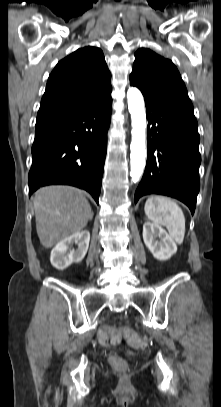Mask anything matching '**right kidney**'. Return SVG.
<instances>
[{"label": "right kidney", "mask_w": 221, "mask_h": 407, "mask_svg": "<svg viewBox=\"0 0 221 407\" xmlns=\"http://www.w3.org/2000/svg\"><path fill=\"white\" fill-rule=\"evenodd\" d=\"M90 241L88 230L74 233L69 237L61 240L51 251L50 262L59 270L66 269L72 263H79L85 257ZM77 244V249L70 250L69 246Z\"/></svg>", "instance_id": "obj_1"}]
</instances>
